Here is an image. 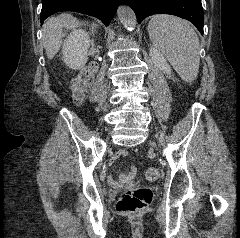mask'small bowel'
Here are the masks:
<instances>
[{
  "label": "small bowel",
  "instance_id": "obj_1",
  "mask_svg": "<svg viewBox=\"0 0 240 238\" xmlns=\"http://www.w3.org/2000/svg\"><path fill=\"white\" fill-rule=\"evenodd\" d=\"M127 155L132 156L133 152L132 151H127L125 149L120 150L115 154L113 157L112 161L126 157ZM135 164L132 162L130 166H128V171H130V174H139V169H137V166H134ZM116 174L118 173L119 175H125V170H119L118 172H115ZM107 180H108V187H119V184H124V179H116V175H107Z\"/></svg>",
  "mask_w": 240,
  "mask_h": 238
}]
</instances>
